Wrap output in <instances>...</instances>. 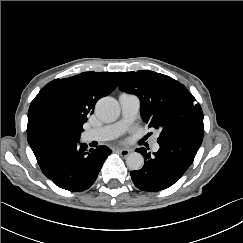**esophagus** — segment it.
Instances as JSON below:
<instances>
[{
  "label": "esophagus",
  "mask_w": 243,
  "mask_h": 243,
  "mask_svg": "<svg viewBox=\"0 0 243 243\" xmlns=\"http://www.w3.org/2000/svg\"><path fill=\"white\" fill-rule=\"evenodd\" d=\"M116 152H118L120 155L126 157L130 154L129 149H116Z\"/></svg>",
  "instance_id": "obj_1"
}]
</instances>
